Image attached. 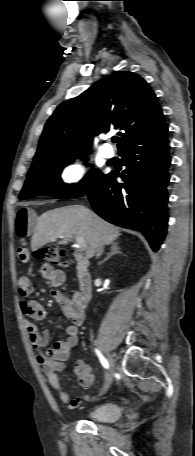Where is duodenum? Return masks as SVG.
<instances>
[{
  "label": "duodenum",
  "mask_w": 195,
  "mask_h": 456,
  "mask_svg": "<svg viewBox=\"0 0 195 456\" xmlns=\"http://www.w3.org/2000/svg\"><path fill=\"white\" fill-rule=\"evenodd\" d=\"M76 273L79 283L80 293L85 302L92 295V278L88 270L89 262L85 256L76 255Z\"/></svg>",
  "instance_id": "1"
}]
</instances>
